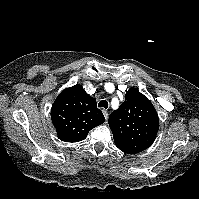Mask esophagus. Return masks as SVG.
<instances>
[{
	"label": "esophagus",
	"instance_id": "obj_1",
	"mask_svg": "<svg viewBox=\"0 0 199 199\" xmlns=\"http://www.w3.org/2000/svg\"><path fill=\"white\" fill-rule=\"evenodd\" d=\"M103 114H104L105 119L107 120L109 116L108 112L106 110H103Z\"/></svg>",
	"mask_w": 199,
	"mask_h": 199
}]
</instances>
